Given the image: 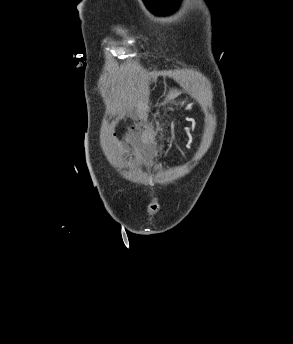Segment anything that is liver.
I'll return each mask as SVG.
<instances>
[{
	"label": "liver",
	"instance_id": "1",
	"mask_svg": "<svg viewBox=\"0 0 293 344\" xmlns=\"http://www.w3.org/2000/svg\"><path fill=\"white\" fill-rule=\"evenodd\" d=\"M180 94V92L178 91H171L167 97L168 100L174 99L175 97H177Z\"/></svg>",
	"mask_w": 293,
	"mask_h": 344
}]
</instances>
